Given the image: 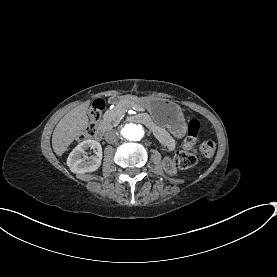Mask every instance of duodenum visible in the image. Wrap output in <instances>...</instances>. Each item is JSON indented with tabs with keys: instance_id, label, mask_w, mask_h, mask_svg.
<instances>
[{
	"instance_id": "obj_1",
	"label": "duodenum",
	"mask_w": 277,
	"mask_h": 277,
	"mask_svg": "<svg viewBox=\"0 0 277 277\" xmlns=\"http://www.w3.org/2000/svg\"><path fill=\"white\" fill-rule=\"evenodd\" d=\"M126 99L125 96H114L111 98V102H119ZM128 121L130 123L135 124H142L148 127L151 131H153L154 134H156L159 131V127L153 122V120L146 114H136L132 115L128 118ZM106 132V127L104 125H100L97 129L96 138L102 139L104 134Z\"/></svg>"
}]
</instances>
